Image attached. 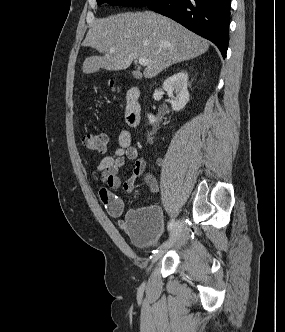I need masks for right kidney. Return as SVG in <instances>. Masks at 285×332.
I'll list each match as a JSON object with an SVG mask.
<instances>
[{
  "mask_svg": "<svg viewBox=\"0 0 285 332\" xmlns=\"http://www.w3.org/2000/svg\"><path fill=\"white\" fill-rule=\"evenodd\" d=\"M187 82L188 74L181 71L167 78L163 83V89L167 92L169 98H171V106L174 111L182 110L189 101ZM148 119L150 124L157 121L152 114H148Z\"/></svg>",
  "mask_w": 285,
  "mask_h": 332,
  "instance_id": "obj_1",
  "label": "right kidney"
}]
</instances>
